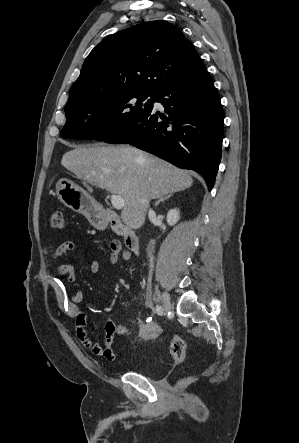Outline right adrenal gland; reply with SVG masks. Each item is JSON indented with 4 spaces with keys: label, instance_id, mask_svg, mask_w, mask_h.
Returning <instances> with one entry per match:
<instances>
[{
    "label": "right adrenal gland",
    "instance_id": "right-adrenal-gland-1",
    "mask_svg": "<svg viewBox=\"0 0 299 443\" xmlns=\"http://www.w3.org/2000/svg\"><path fill=\"white\" fill-rule=\"evenodd\" d=\"M173 194H174V193H171V194H168L167 196H164V197L159 198V199L155 202L154 206L157 207V206L160 204V202H164L165 200L169 199L171 196H173Z\"/></svg>",
    "mask_w": 299,
    "mask_h": 443
}]
</instances>
